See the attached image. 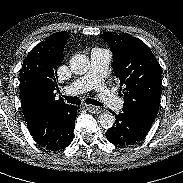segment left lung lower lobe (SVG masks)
Masks as SVG:
<instances>
[{
  "instance_id": "obj_1",
  "label": "left lung lower lobe",
  "mask_w": 183,
  "mask_h": 183,
  "mask_svg": "<svg viewBox=\"0 0 183 183\" xmlns=\"http://www.w3.org/2000/svg\"><path fill=\"white\" fill-rule=\"evenodd\" d=\"M114 115V113H113ZM116 124L106 132L107 139L115 145H133L140 142L151 129L152 122L144 115L123 108L115 115Z\"/></svg>"
}]
</instances>
